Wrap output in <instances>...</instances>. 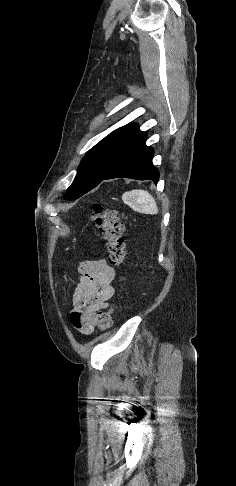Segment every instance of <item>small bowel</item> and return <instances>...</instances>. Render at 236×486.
Listing matches in <instances>:
<instances>
[{
    "label": "small bowel",
    "mask_w": 236,
    "mask_h": 486,
    "mask_svg": "<svg viewBox=\"0 0 236 486\" xmlns=\"http://www.w3.org/2000/svg\"><path fill=\"white\" fill-rule=\"evenodd\" d=\"M79 271L81 276L73 294L70 320L76 330L88 335L95 327L97 314L109 305L116 274L106 260L83 262Z\"/></svg>",
    "instance_id": "obj_1"
}]
</instances>
